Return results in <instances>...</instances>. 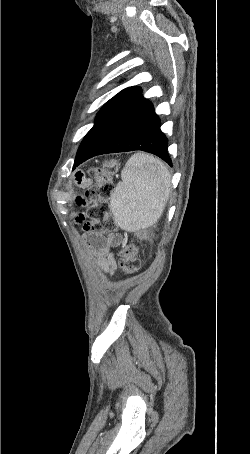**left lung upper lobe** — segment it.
<instances>
[{"label":"left lung upper lobe","instance_id":"left-lung-upper-lobe-1","mask_svg":"<svg viewBox=\"0 0 250 454\" xmlns=\"http://www.w3.org/2000/svg\"><path fill=\"white\" fill-rule=\"evenodd\" d=\"M140 91V88L137 87H129L121 92H119L117 95H115L113 98H111L100 110V112L97 114L96 120H95V125L93 128L87 133L85 138L83 139L78 152L77 156L83 153L85 150L88 142L90 139L93 137L97 129L100 127V125L112 114L114 113L118 108H120L122 105H124L127 101H129L133 96H135L138 92Z\"/></svg>","mask_w":250,"mask_h":454}]
</instances>
